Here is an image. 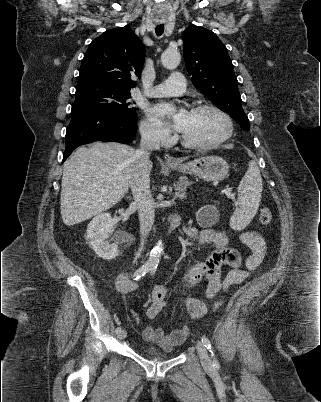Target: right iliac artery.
<instances>
[{"label":"right iliac artery","instance_id":"right-iliac-artery-1","mask_svg":"<svg viewBox=\"0 0 321 402\" xmlns=\"http://www.w3.org/2000/svg\"><path fill=\"white\" fill-rule=\"evenodd\" d=\"M153 266L149 265V264H145L143 266H141L139 269H137L133 275L134 280H138L139 278H141L142 276H144L147 272H149L151 270ZM121 332V327H117L116 328V333H120Z\"/></svg>","mask_w":321,"mask_h":402}]
</instances>
